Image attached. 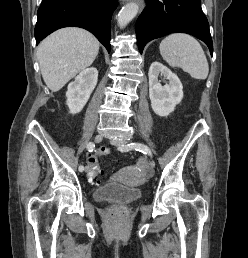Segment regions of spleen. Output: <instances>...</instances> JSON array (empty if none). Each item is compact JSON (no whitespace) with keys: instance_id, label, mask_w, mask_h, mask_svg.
Wrapping results in <instances>:
<instances>
[{"instance_id":"obj_1","label":"spleen","mask_w":248,"mask_h":258,"mask_svg":"<svg viewBox=\"0 0 248 258\" xmlns=\"http://www.w3.org/2000/svg\"><path fill=\"white\" fill-rule=\"evenodd\" d=\"M160 54L172 67H180L194 79L204 80L209 73L206 55L200 43L191 35L173 33L159 45Z\"/></svg>"}]
</instances>
